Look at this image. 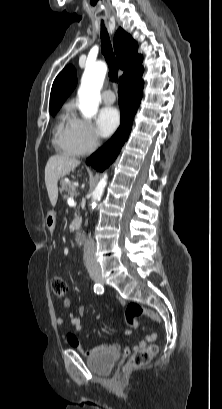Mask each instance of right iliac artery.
I'll return each instance as SVG.
<instances>
[{
  "label": "right iliac artery",
  "instance_id": "1",
  "mask_svg": "<svg viewBox=\"0 0 222 409\" xmlns=\"http://www.w3.org/2000/svg\"><path fill=\"white\" fill-rule=\"evenodd\" d=\"M94 292L97 294H103L104 293V287L101 284H95L94 287Z\"/></svg>",
  "mask_w": 222,
  "mask_h": 409
}]
</instances>
